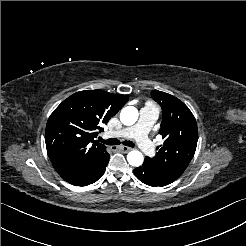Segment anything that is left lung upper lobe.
Wrapping results in <instances>:
<instances>
[{
	"instance_id": "left-lung-upper-lobe-1",
	"label": "left lung upper lobe",
	"mask_w": 246,
	"mask_h": 246,
	"mask_svg": "<svg viewBox=\"0 0 246 246\" xmlns=\"http://www.w3.org/2000/svg\"><path fill=\"white\" fill-rule=\"evenodd\" d=\"M151 95L163 111L159 133L165 140L152 159L155 167L176 180L194 156L197 124L189 108L176 97L158 90H153Z\"/></svg>"
}]
</instances>
